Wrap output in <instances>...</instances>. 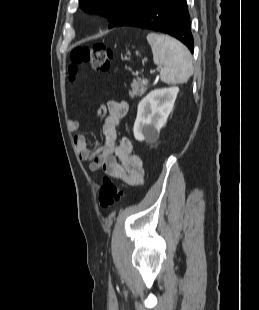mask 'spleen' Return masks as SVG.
<instances>
[{"mask_svg": "<svg viewBox=\"0 0 259 310\" xmlns=\"http://www.w3.org/2000/svg\"><path fill=\"white\" fill-rule=\"evenodd\" d=\"M153 61L161 65L160 77L164 83H185L193 74L192 56L178 40L164 34L149 33Z\"/></svg>", "mask_w": 259, "mask_h": 310, "instance_id": "3e777b00", "label": "spleen"}]
</instances>
